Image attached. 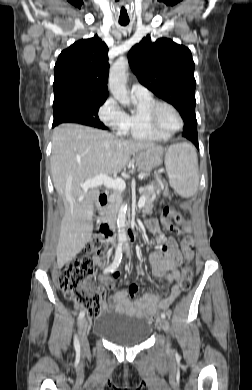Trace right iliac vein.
Listing matches in <instances>:
<instances>
[{
    "label": "right iliac vein",
    "instance_id": "right-iliac-vein-1",
    "mask_svg": "<svg viewBox=\"0 0 252 390\" xmlns=\"http://www.w3.org/2000/svg\"><path fill=\"white\" fill-rule=\"evenodd\" d=\"M89 324L86 319L82 318L78 324V334L80 344L83 350H86L89 346L88 342Z\"/></svg>",
    "mask_w": 252,
    "mask_h": 390
}]
</instances>
